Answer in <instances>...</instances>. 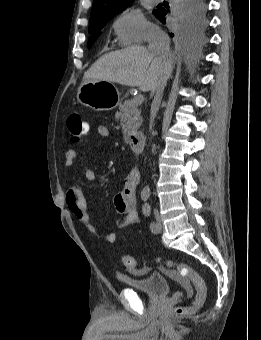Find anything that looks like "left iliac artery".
<instances>
[{"mask_svg":"<svg viewBox=\"0 0 261 340\" xmlns=\"http://www.w3.org/2000/svg\"><path fill=\"white\" fill-rule=\"evenodd\" d=\"M142 211H143V214H144L146 217H149L150 214H151V207H150V205L146 203V204L143 206ZM150 229H151V231H155V230L157 229V224H156L154 221H152V222L150 223Z\"/></svg>","mask_w":261,"mask_h":340,"instance_id":"44dca946","label":"left iliac artery"}]
</instances>
